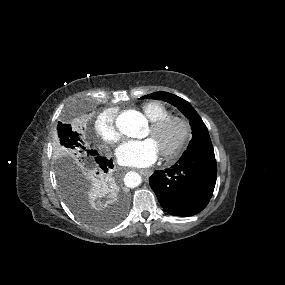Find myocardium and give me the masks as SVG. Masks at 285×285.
<instances>
[{"label":"myocardium","instance_id":"1","mask_svg":"<svg viewBox=\"0 0 285 285\" xmlns=\"http://www.w3.org/2000/svg\"><path fill=\"white\" fill-rule=\"evenodd\" d=\"M173 126L179 128V136L172 146L161 151L164 159L168 161L176 160L187 148L192 136L191 124L188 119L181 115H168L151 123L153 134L160 136L164 135Z\"/></svg>","mask_w":285,"mask_h":285}]
</instances>
